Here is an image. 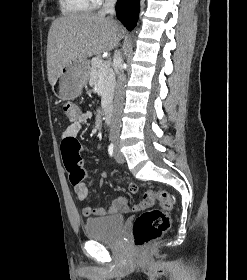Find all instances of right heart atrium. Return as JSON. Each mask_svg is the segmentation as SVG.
<instances>
[{
  "mask_svg": "<svg viewBox=\"0 0 247 280\" xmlns=\"http://www.w3.org/2000/svg\"><path fill=\"white\" fill-rule=\"evenodd\" d=\"M94 4H100L103 0H92Z\"/></svg>",
  "mask_w": 247,
  "mask_h": 280,
  "instance_id": "obj_1",
  "label": "right heart atrium"
}]
</instances>
